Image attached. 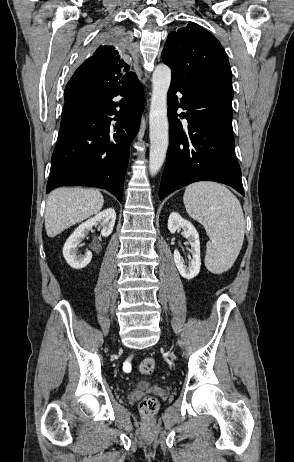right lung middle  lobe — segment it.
<instances>
[{
    "instance_id": "right-lung-middle-lobe-1",
    "label": "right lung middle lobe",
    "mask_w": 294,
    "mask_h": 462,
    "mask_svg": "<svg viewBox=\"0 0 294 462\" xmlns=\"http://www.w3.org/2000/svg\"><path fill=\"white\" fill-rule=\"evenodd\" d=\"M123 32L118 28H110L103 31L95 41V46H103L104 44H119L123 41Z\"/></svg>"
}]
</instances>
